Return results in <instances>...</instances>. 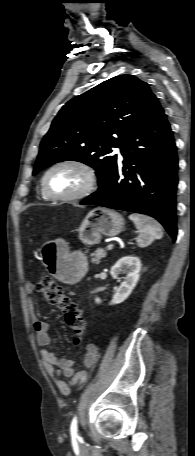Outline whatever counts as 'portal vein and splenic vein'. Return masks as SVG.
Returning <instances> with one entry per match:
<instances>
[{"mask_svg": "<svg viewBox=\"0 0 195 456\" xmlns=\"http://www.w3.org/2000/svg\"><path fill=\"white\" fill-rule=\"evenodd\" d=\"M113 246H114L113 244H109V245H107L106 248H107L108 250H111V249L113 248Z\"/></svg>", "mask_w": 195, "mask_h": 456, "instance_id": "18ae733b", "label": "portal vein and splenic vein"}]
</instances>
